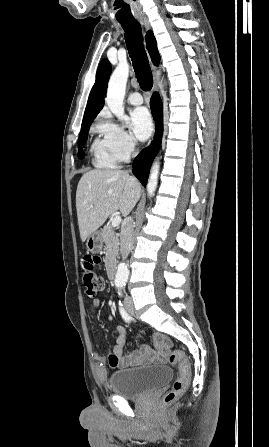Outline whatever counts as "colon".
Wrapping results in <instances>:
<instances>
[{"instance_id": "obj_1", "label": "colon", "mask_w": 269, "mask_h": 447, "mask_svg": "<svg viewBox=\"0 0 269 447\" xmlns=\"http://www.w3.org/2000/svg\"><path fill=\"white\" fill-rule=\"evenodd\" d=\"M82 263V283L85 288L87 298H95L99 291L103 289L104 282L93 271H102L100 253H85ZM167 361L170 365L178 366V376L174 380L171 389L163 396V403L168 405L173 403L178 396L182 395L190 384L191 366L185 354L180 350H171L167 353ZM108 364L111 368H117L119 358L114 352L108 354Z\"/></svg>"}]
</instances>
